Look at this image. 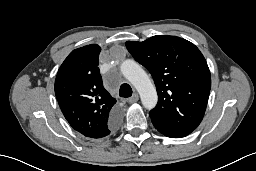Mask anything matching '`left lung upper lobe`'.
<instances>
[{"label":"left lung upper lobe","instance_id":"5c2ea615","mask_svg":"<svg viewBox=\"0 0 256 171\" xmlns=\"http://www.w3.org/2000/svg\"><path fill=\"white\" fill-rule=\"evenodd\" d=\"M126 47L154 79L158 103L150 112L152 123L180 137L190 134L204 116L211 88L202 53L193 43L169 35L128 41Z\"/></svg>","mask_w":256,"mask_h":171}]
</instances>
